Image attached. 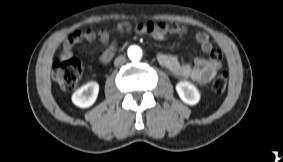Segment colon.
<instances>
[{
	"instance_id": "obj_1",
	"label": "colon",
	"mask_w": 283,
	"mask_h": 162,
	"mask_svg": "<svg viewBox=\"0 0 283 162\" xmlns=\"http://www.w3.org/2000/svg\"><path fill=\"white\" fill-rule=\"evenodd\" d=\"M82 64L75 58H68L59 61L54 68V78L58 84L64 89H73L81 75ZM228 74L226 71H220L212 82L214 92L221 94L226 90Z\"/></svg>"
}]
</instances>
